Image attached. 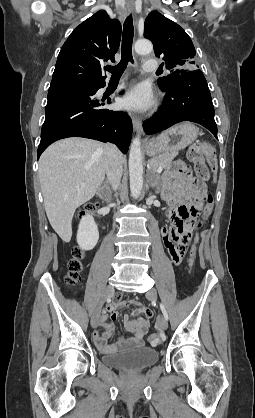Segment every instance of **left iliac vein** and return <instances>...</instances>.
I'll return each instance as SVG.
<instances>
[{
    "label": "left iliac vein",
    "mask_w": 255,
    "mask_h": 418,
    "mask_svg": "<svg viewBox=\"0 0 255 418\" xmlns=\"http://www.w3.org/2000/svg\"><path fill=\"white\" fill-rule=\"evenodd\" d=\"M146 296L150 300H156L157 292L155 289H151L146 293ZM158 324L162 330H166L168 328V321L165 319V317H161L158 321Z\"/></svg>",
    "instance_id": "left-iliac-vein-1"
}]
</instances>
